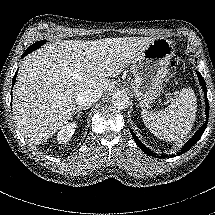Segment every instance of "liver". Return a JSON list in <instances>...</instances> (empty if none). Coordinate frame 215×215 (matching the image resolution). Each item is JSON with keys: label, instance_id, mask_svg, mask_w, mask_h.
<instances>
[{"label": "liver", "instance_id": "obj_1", "mask_svg": "<svg viewBox=\"0 0 215 215\" xmlns=\"http://www.w3.org/2000/svg\"><path fill=\"white\" fill-rule=\"evenodd\" d=\"M154 40L55 41L24 58L13 91V116L24 138L34 146L52 138L75 114L79 92L110 91L115 83L109 77L131 65Z\"/></svg>", "mask_w": 215, "mask_h": 215}]
</instances>
